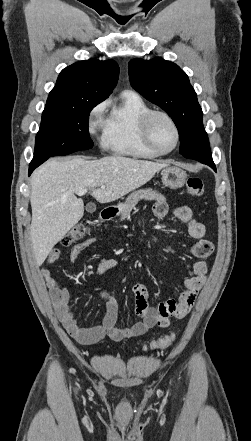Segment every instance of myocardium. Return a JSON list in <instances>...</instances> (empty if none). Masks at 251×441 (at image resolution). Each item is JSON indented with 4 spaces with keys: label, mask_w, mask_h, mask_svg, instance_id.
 <instances>
[{
    "label": "myocardium",
    "mask_w": 251,
    "mask_h": 441,
    "mask_svg": "<svg viewBox=\"0 0 251 441\" xmlns=\"http://www.w3.org/2000/svg\"><path fill=\"white\" fill-rule=\"evenodd\" d=\"M158 116L164 117L171 124V126L175 132V144L171 149H169L167 151H163V150L159 149L154 144L153 139H152V134H151L152 123H153L154 119ZM140 131H141V136H142V140H143L144 144L151 151L156 153L157 155L170 154L178 147V145L180 143V139H181L180 130H179V127H178L176 121L169 113L162 111V110H151L148 113H146L141 120Z\"/></svg>",
    "instance_id": "myocardium-1"
}]
</instances>
